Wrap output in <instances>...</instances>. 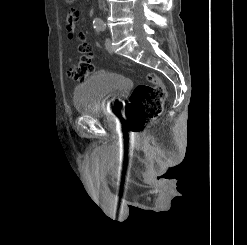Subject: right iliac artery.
<instances>
[{
    "label": "right iliac artery",
    "mask_w": 247,
    "mask_h": 245,
    "mask_svg": "<svg viewBox=\"0 0 247 245\" xmlns=\"http://www.w3.org/2000/svg\"><path fill=\"white\" fill-rule=\"evenodd\" d=\"M97 32L99 33L100 32V29L96 28Z\"/></svg>",
    "instance_id": "obj_1"
}]
</instances>
